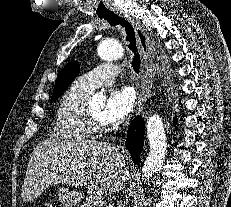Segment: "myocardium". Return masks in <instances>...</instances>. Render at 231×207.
I'll list each match as a JSON object with an SVG mask.
<instances>
[{
  "label": "myocardium",
  "mask_w": 231,
  "mask_h": 207,
  "mask_svg": "<svg viewBox=\"0 0 231 207\" xmlns=\"http://www.w3.org/2000/svg\"><path fill=\"white\" fill-rule=\"evenodd\" d=\"M85 118L87 119L88 123L91 125V127L95 130V132H102L106 129V125L103 121L97 120L93 118L88 110L84 111Z\"/></svg>",
  "instance_id": "obj_1"
}]
</instances>
